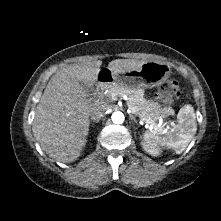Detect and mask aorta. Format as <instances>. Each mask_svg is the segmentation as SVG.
Here are the masks:
<instances>
[{"instance_id": "1", "label": "aorta", "mask_w": 221, "mask_h": 221, "mask_svg": "<svg viewBox=\"0 0 221 221\" xmlns=\"http://www.w3.org/2000/svg\"><path fill=\"white\" fill-rule=\"evenodd\" d=\"M111 118L115 124H122L125 119L124 114L120 111L113 112Z\"/></svg>"}]
</instances>
